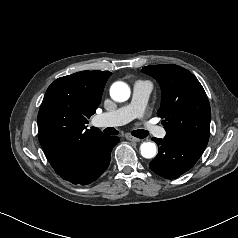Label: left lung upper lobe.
<instances>
[{
	"mask_svg": "<svg viewBox=\"0 0 238 238\" xmlns=\"http://www.w3.org/2000/svg\"><path fill=\"white\" fill-rule=\"evenodd\" d=\"M142 72L160 84L162 99L157 114L164 119L166 135L207 146L211 109L197 78L185 68L173 64L150 65Z\"/></svg>",
	"mask_w": 238,
	"mask_h": 238,
	"instance_id": "1",
	"label": "left lung upper lobe"
}]
</instances>
